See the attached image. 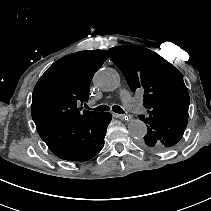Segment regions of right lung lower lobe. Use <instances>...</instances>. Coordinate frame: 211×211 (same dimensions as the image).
Returning a JSON list of instances; mask_svg holds the SVG:
<instances>
[{
  "instance_id": "obj_1",
  "label": "right lung lower lobe",
  "mask_w": 211,
  "mask_h": 211,
  "mask_svg": "<svg viewBox=\"0 0 211 211\" xmlns=\"http://www.w3.org/2000/svg\"><path fill=\"white\" fill-rule=\"evenodd\" d=\"M110 121V113L96 112L82 121L58 127L40 137L60 159L83 162L93 158L103 148Z\"/></svg>"
}]
</instances>
